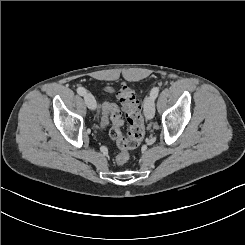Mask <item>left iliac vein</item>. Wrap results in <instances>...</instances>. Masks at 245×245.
I'll return each mask as SVG.
<instances>
[{
    "instance_id": "1",
    "label": "left iliac vein",
    "mask_w": 245,
    "mask_h": 245,
    "mask_svg": "<svg viewBox=\"0 0 245 245\" xmlns=\"http://www.w3.org/2000/svg\"><path fill=\"white\" fill-rule=\"evenodd\" d=\"M144 114L148 120L152 119L155 115L154 98L151 95L145 99Z\"/></svg>"
}]
</instances>
